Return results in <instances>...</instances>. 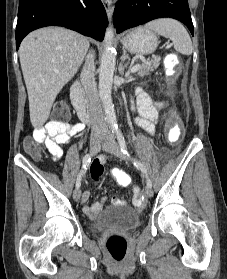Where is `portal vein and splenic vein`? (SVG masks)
<instances>
[{
	"label": "portal vein and splenic vein",
	"mask_w": 227,
	"mask_h": 279,
	"mask_svg": "<svg viewBox=\"0 0 227 279\" xmlns=\"http://www.w3.org/2000/svg\"><path fill=\"white\" fill-rule=\"evenodd\" d=\"M141 67V64H136L131 68V72L134 73L136 72L139 68Z\"/></svg>",
	"instance_id": "1"
}]
</instances>
